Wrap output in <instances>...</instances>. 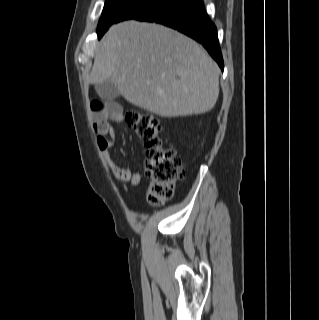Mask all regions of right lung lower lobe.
I'll list each match as a JSON object with an SVG mask.
<instances>
[{"label":"right lung lower lobe","instance_id":"98d812e1","mask_svg":"<svg viewBox=\"0 0 319 320\" xmlns=\"http://www.w3.org/2000/svg\"><path fill=\"white\" fill-rule=\"evenodd\" d=\"M135 19L161 23L190 36L206 48L223 70L224 63L217 29L206 14L203 0H175L169 5L153 9Z\"/></svg>","mask_w":319,"mask_h":320}]
</instances>
